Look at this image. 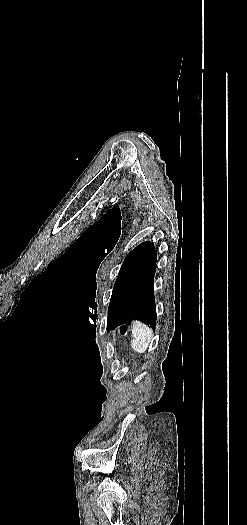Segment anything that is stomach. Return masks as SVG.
<instances>
[{
  "mask_svg": "<svg viewBox=\"0 0 247 525\" xmlns=\"http://www.w3.org/2000/svg\"><path fill=\"white\" fill-rule=\"evenodd\" d=\"M125 329H126V328H124V329H121V333H122V334H124V333H125Z\"/></svg>",
  "mask_w": 247,
  "mask_h": 525,
  "instance_id": "1",
  "label": "stomach"
}]
</instances>
